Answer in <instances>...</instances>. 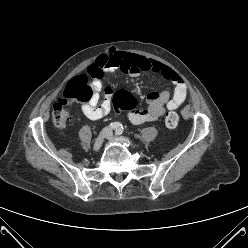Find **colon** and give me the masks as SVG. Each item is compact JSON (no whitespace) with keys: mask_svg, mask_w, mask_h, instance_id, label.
I'll return each instance as SVG.
<instances>
[{"mask_svg":"<svg viewBox=\"0 0 248 248\" xmlns=\"http://www.w3.org/2000/svg\"><path fill=\"white\" fill-rule=\"evenodd\" d=\"M91 77L100 78L102 70L91 66L89 68ZM93 88L89 78L85 74L72 78L66 86L63 98L53 106L52 119L57 127H64L70 121V107L74 102H88L93 97ZM115 110H131L133 108V99L131 95L120 92L114 97ZM178 115L176 112H169L166 116L165 123L169 128H174L178 124Z\"/></svg>","mask_w":248,"mask_h":248,"instance_id":"1","label":"colon"}]
</instances>
